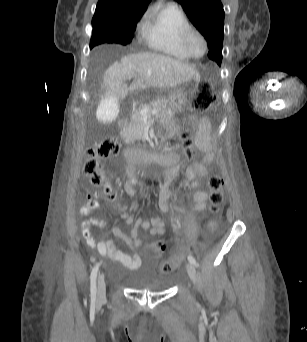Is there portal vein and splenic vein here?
Instances as JSON below:
<instances>
[{"instance_id": "18ae733b", "label": "portal vein and splenic vein", "mask_w": 307, "mask_h": 342, "mask_svg": "<svg viewBox=\"0 0 307 342\" xmlns=\"http://www.w3.org/2000/svg\"><path fill=\"white\" fill-rule=\"evenodd\" d=\"M150 114H158V110H151ZM150 114H149L148 112H145V113L143 114V117H144L145 119H148V118L150 117Z\"/></svg>"}]
</instances>
